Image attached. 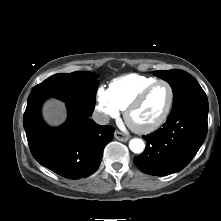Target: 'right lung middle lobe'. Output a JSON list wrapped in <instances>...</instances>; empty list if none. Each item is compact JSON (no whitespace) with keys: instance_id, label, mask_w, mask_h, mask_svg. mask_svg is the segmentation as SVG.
Segmentation results:
<instances>
[{"instance_id":"right-lung-middle-lobe-1","label":"right lung middle lobe","mask_w":221,"mask_h":221,"mask_svg":"<svg viewBox=\"0 0 221 221\" xmlns=\"http://www.w3.org/2000/svg\"><path fill=\"white\" fill-rule=\"evenodd\" d=\"M97 87L96 74L92 72L77 71L69 74H55L32 89L28 103L55 97L65 103L92 111Z\"/></svg>"}]
</instances>
